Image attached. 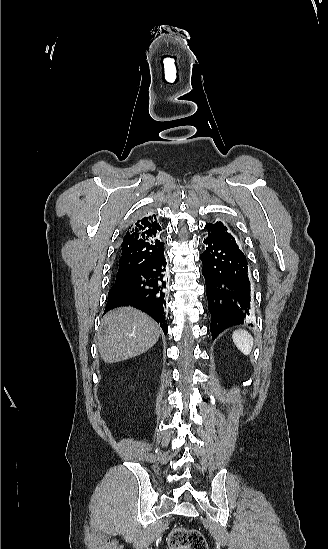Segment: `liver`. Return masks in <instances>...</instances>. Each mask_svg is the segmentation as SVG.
<instances>
[{
	"label": "liver",
	"instance_id": "liver-1",
	"mask_svg": "<svg viewBox=\"0 0 328 549\" xmlns=\"http://www.w3.org/2000/svg\"><path fill=\"white\" fill-rule=\"evenodd\" d=\"M159 325L133 307H119L104 315L96 337L104 363H118L151 349L159 339Z\"/></svg>",
	"mask_w": 328,
	"mask_h": 549
}]
</instances>
